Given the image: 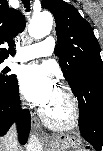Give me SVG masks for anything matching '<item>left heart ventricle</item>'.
Segmentation results:
<instances>
[{
	"label": "left heart ventricle",
	"instance_id": "left-heart-ventricle-1",
	"mask_svg": "<svg viewBox=\"0 0 103 151\" xmlns=\"http://www.w3.org/2000/svg\"><path fill=\"white\" fill-rule=\"evenodd\" d=\"M50 118L55 121H65L69 116V105L64 93L57 88L54 98L45 109Z\"/></svg>",
	"mask_w": 103,
	"mask_h": 151
}]
</instances>
